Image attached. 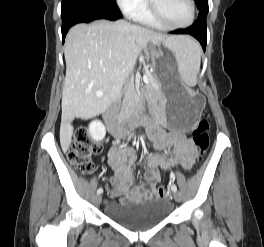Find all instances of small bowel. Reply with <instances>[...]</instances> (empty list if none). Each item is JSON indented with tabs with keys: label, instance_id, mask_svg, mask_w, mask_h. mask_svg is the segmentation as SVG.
<instances>
[{
	"label": "small bowel",
	"instance_id": "1",
	"mask_svg": "<svg viewBox=\"0 0 264 247\" xmlns=\"http://www.w3.org/2000/svg\"><path fill=\"white\" fill-rule=\"evenodd\" d=\"M168 123L161 112H156V120L148 125V133L152 147L156 150L171 149L170 157L151 155L146 161L145 184L132 186L134 151L131 148H121L118 143L109 152V165L114 170L111 182L116 190L123 195V199H152L155 196L154 188L159 182L158 169H169L176 165L184 170H191L195 158L196 147L193 141L185 134L175 130H165Z\"/></svg>",
	"mask_w": 264,
	"mask_h": 247
}]
</instances>
